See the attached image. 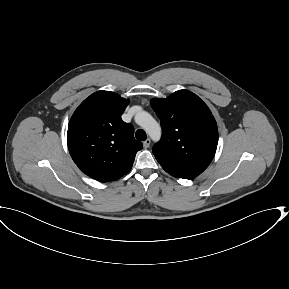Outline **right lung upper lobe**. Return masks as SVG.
Masks as SVG:
<instances>
[{
	"mask_svg": "<svg viewBox=\"0 0 289 289\" xmlns=\"http://www.w3.org/2000/svg\"><path fill=\"white\" fill-rule=\"evenodd\" d=\"M128 100L110 91H98L75 110L68 125L67 144L80 170L91 178L114 181L132 168L142 143L121 115Z\"/></svg>",
	"mask_w": 289,
	"mask_h": 289,
	"instance_id": "cb5924a9",
	"label": "right lung upper lobe"
}]
</instances>
